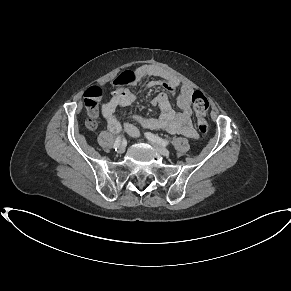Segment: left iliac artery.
<instances>
[{
    "mask_svg": "<svg viewBox=\"0 0 291 291\" xmlns=\"http://www.w3.org/2000/svg\"><path fill=\"white\" fill-rule=\"evenodd\" d=\"M145 135L152 142L158 143V144L163 145V146L170 145L169 141H167V140H165V139H163L155 134L147 132V133H145Z\"/></svg>",
    "mask_w": 291,
    "mask_h": 291,
    "instance_id": "44dca946",
    "label": "left iliac artery"
}]
</instances>
